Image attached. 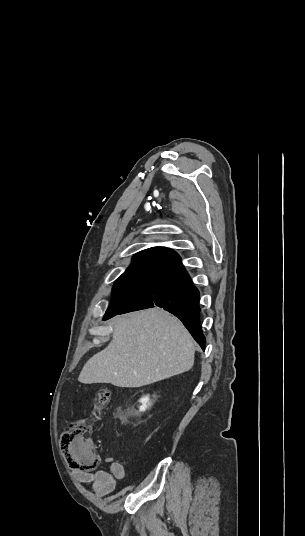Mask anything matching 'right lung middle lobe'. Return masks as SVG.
Segmentation results:
<instances>
[{
    "mask_svg": "<svg viewBox=\"0 0 305 536\" xmlns=\"http://www.w3.org/2000/svg\"><path fill=\"white\" fill-rule=\"evenodd\" d=\"M163 279V277L155 276H130L118 278L112 288V300L105 316L124 310L141 296L149 292Z\"/></svg>",
    "mask_w": 305,
    "mask_h": 536,
    "instance_id": "right-lung-middle-lobe-1",
    "label": "right lung middle lobe"
}]
</instances>
